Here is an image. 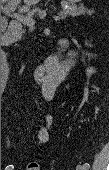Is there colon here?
I'll return each instance as SVG.
<instances>
[{
	"label": "colon",
	"instance_id": "5ec220e1",
	"mask_svg": "<svg viewBox=\"0 0 109 170\" xmlns=\"http://www.w3.org/2000/svg\"><path fill=\"white\" fill-rule=\"evenodd\" d=\"M27 170H40V166L37 163L29 164Z\"/></svg>",
	"mask_w": 109,
	"mask_h": 170
}]
</instances>
